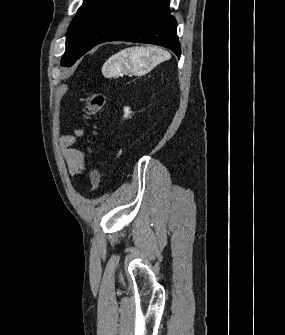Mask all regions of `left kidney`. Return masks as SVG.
I'll return each mask as SVG.
<instances>
[{"label": "left kidney", "instance_id": "left-kidney-1", "mask_svg": "<svg viewBox=\"0 0 285 335\" xmlns=\"http://www.w3.org/2000/svg\"><path fill=\"white\" fill-rule=\"evenodd\" d=\"M124 118H128L129 114H131V112H129V108H124Z\"/></svg>", "mask_w": 285, "mask_h": 335}]
</instances>
